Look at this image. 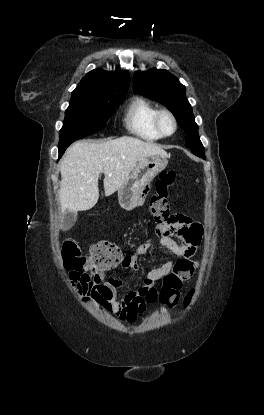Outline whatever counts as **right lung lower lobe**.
<instances>
[{"mask_svg": "<svg viewBox=\"0 0 264 415\" xmlns=\"http://www.w3.org/2000/svg\"><path fill=\"white\" fill-rule=\"evenodd\" d=\"M65 150H66V148L59 150V158L63 155V153L65 152Z\"/></svg>", "mask_w": 264, "mask_h": 415, "instance_id": "98d812e1", "label": "right lung lower lobe"}]
</instances>
